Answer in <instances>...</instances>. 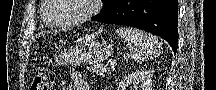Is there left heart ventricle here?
<instances>
[{"label":"left heart ventricle","mask_w":216,"mask_h":90,"mask_svg":"<svg viewBox=\"0 0 216 90\" xmlns=\"http://www.w3.org/2000/svg\"><path fill=\"white\" fill-rule=\"evenodd\" d=\"M64 1L62 10H58L52 19H47L52 25H69L76 22L84 13L86 0H59Z\"/></svg>","instance_id":"b2bd125f"}]
</instances>
